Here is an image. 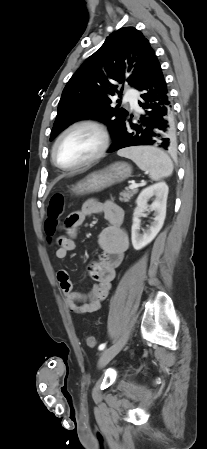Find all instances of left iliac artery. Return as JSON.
I'll return each mask as SVG.
<instances>
[{"label":"left iliac artery","mask_w":207,"mask_h":449,"mask_svg":"<svg viewBox=\"0 0 207 449\" xmlns=\"http://www.w3.org/2000/svg\"><path fill=\"white\" fill-rule=\"evenodd\" d=\"M105 347H106V344L102 343V344L99 345V350H103Z\"/></svg>","instance_id":"1"}]
</instances>
